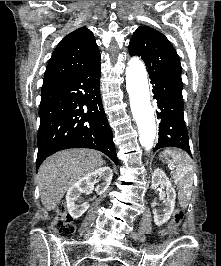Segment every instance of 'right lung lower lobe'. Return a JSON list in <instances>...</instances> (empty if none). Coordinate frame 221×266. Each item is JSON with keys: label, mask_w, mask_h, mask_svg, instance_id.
Instances as JSON below:
<instances>
[{"label": "right lung lower lobe", "mask_w": 221, "mask_h": 266, "mask_svg": "<svg viewBox=\"0 0 221 266\" xmlns=\"http://www.w3.org/2000/svg\"><path fill=\"white\" fill-rule=\"evenodd\" d=\"M100 62L41 92L36 171L53 153L90 148L118 158L100 96Z\"/></svg>", "instance_id": "obj_1"}]
</instances>
